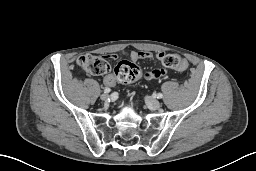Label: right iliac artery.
<instances>
[{"label": "right iliac artery", "mask_w": 256, "mask_h": 171, "mask_svg": "<svg viewBox=\"0 0 256 171\" xmlns=\"http://www.w3.org/2000/svg\"><path fill=\"white\" fill-rule=\"evenodd\" d=\"M110 91H111L110 88H105V89H104V93H109Z\"/></svg>", "instance_id": "82829eb1"}]
</instances>
